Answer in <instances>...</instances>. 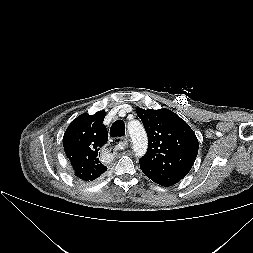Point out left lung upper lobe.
I'll return each mask as SVG.
<instances>
[{
	"instance_id": "obj_1",
	"label": "left lung upper lobe",
	"mask_w": 253,
	"mask_h": 253,
	"mask_svg": "<svg viewBox=\"0 0 253 253\" xmlns=\"http://www.w3.org/2000/svg\"><path fill=\"white\" fill-rule=\"evenodd\" d=\"M148 136L140 159L142 172L153 182L170 186L184 178L198 154V139L177 114L168 109H136Z\"/></svg>"
}]
</instances>
